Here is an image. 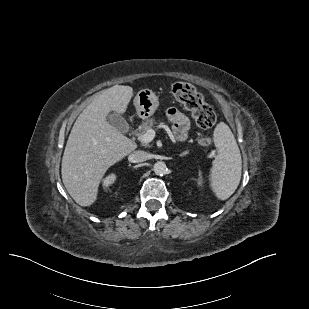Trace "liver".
Instances as JSON below:
<instances>
[{"instance_id": "liver-1", "label": "liver", "mask_w": 309, "mask_h": 309, "mask_svg": "<svg viewBox=\"0 0 309 309\" xmlns=\"http://www.w3.org/2000/svg\"><path fill=\"white\" fill-rule=\"evenodd\" d=\"M133 96L130 86L115 85L104 90L78 116L62 158V181L74 201L90 206L97 199L99 184L106 171L137 145L108 121L114 111L126 112Z\"/></svg>"}]
</instances>
